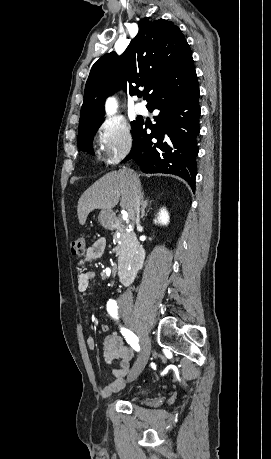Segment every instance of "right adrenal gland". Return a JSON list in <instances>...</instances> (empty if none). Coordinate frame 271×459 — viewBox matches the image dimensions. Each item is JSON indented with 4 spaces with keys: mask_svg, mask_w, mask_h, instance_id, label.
<instances>
[{
    "mask_svg": "<svg viewBox=\"0 0 271 459\" xmlns=\"http://www.w3.org/2000/svg\"><path fill=\"white\" fill-rule=\"evenodd\" d=\"M149 204V200H144V194L141 196V216L140 218H144L145 216V208H147Z\"/></svg>",
    "mask_w": 271,
    "mask_h": 459,
    "instance_id": "obj_1",
    "label": "right adrenal gland"
}]
</instances>
